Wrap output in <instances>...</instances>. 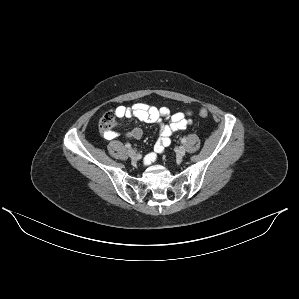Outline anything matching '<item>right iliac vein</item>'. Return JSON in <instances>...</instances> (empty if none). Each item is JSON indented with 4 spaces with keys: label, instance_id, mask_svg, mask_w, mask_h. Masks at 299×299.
Segmentation results:
<instances>
[{
    "label": "right iliac vein",
    "instance_id": "1",
    "mask_svg": "<svg viewBox=\"0 0 299 299\" xmlns=\"http://www.w3.org/2000/svg\"><path fill=\"white\" fill-rule=\"evenodd\" d=\"M128 155H129L130 158L134 159L136 157L137 153H136L135 150L129 149L128 150Z\"/></svg>",
    "mask_w": 299,
    "mask_h": 299
}]
</instances>
